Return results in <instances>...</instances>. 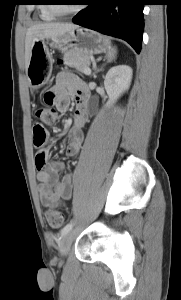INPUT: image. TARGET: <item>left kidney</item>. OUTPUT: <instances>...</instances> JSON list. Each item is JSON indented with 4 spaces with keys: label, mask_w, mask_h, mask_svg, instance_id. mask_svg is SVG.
I'll return each mask as SVG.
<instances>
[{
    "label": "left kidney",
    "mask_w": 181,
    "mask_h": 300,
    "mask_svg": "<svg viewBox=\"0 0 181 300\" xmlns=\"http://www.w3.org/2000/svg\"><path fill=\"white\" fill-rule=\"evenodd\" d=\"M132 69L128 65L112 67L106 74L104 86L109 100L107 106L112 105L130 87Z\"/></svg>",
    "instance_id": "obj_1"
}]
</instances>
